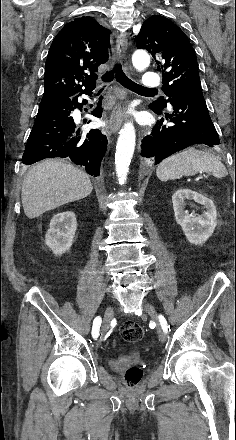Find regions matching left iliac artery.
<instances>
[{
    "label": "left iliac artery",
    "mask_w": 236,
    "mask_h": 440,
    "mask_svg": "<svg viewBox=\"0 0 236 440\" xmlns=\"http://www.w3.org/2000/svg\"><path fill=\"white\" fill-rule=\"evenodd\" d=\"M159 320H160V323H161V326H162L164 332L167 333L169 326L167 324L166 319L162 315H160L159 316Z\"/></svg>",
    "instance_id": "1"
}]
</instances>
